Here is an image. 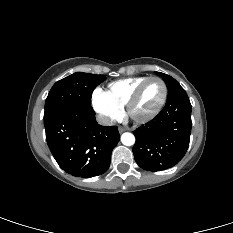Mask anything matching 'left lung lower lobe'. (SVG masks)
<instances>
[{"label": "left lung lower lobe", "mask_w": 233, "mask_h": 233, "mask_svg": "<svg viewBox=\"0 0 233 233\" xmlns=\"http://www.w3.org/2000/svg\"><path fill=\"white\" fill-rule=\"evenodd\" d=\"M191 127L187 93L167 98L162 111L134 131L133 154L137 164L148 171H162L176 165L188 149Z\"/></svg>", "instance_id": "1"}]
</instances>
